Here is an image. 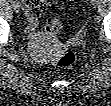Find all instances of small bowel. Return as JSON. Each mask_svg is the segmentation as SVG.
<instances>
[{
	"mask_svg": "<svg viewBox=\"0 0 111 106\" xmlns=\"http://www.w3.org/2000/svg\"><path fill=\"white\" fill-rule=\"evenodd\" d=\"M28 20L30 22V33L34 38V28L37 25L38 18L45 12L46 3L43 0H26L24 1Z\"/></svg>",
	"mask_w": 111,
	"mask_h": 106,
	"instance_id": "obj_1",
	"label": "small bowel"
}]
</instances>
